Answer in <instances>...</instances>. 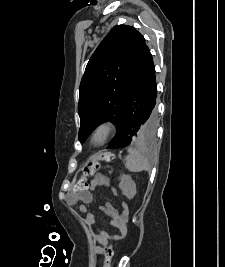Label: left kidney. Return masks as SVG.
<instances>
[{
	"label": "left kidney",
	"mask_w": 225,
	"mask_h": 267,
	"mask_svg": "<svg viewBox=\"0 0 225 267\" xmlns=\"http://www.w3.org/2000/svg\"><path fill=\"white\" fill-rule=\"evenodd\" d=\"M119 187L122 194L128 199H132L136 195V184L129 175L121 176Z\"/></svg>",
	"instance_id": "obj_1"
}]
</instances>
